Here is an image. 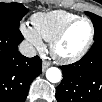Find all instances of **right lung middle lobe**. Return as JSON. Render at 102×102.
I'll return each mask as SVG.
<instances>
[{"mask_svg": "<svg viewBox=\"0 0 102 102\" xmlns=\"http://www.w3.org/2000/svg\"><path fill=\"white\" fill-rule=\"evenodd\" d=\"M27 12L28 9L21 3H0V28L2 26L19 28L20 20Z\"/></svg>", "mask_w": 102, "mask_h": 102, "instance_id": "right-lung-middle-lobe-1", "label": "right lung middle lobe"}]
</instances>
